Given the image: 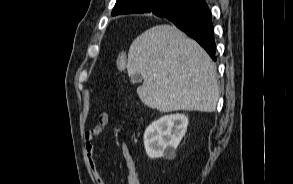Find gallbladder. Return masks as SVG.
Returning <instances> with one entry per match:
<instances>
[{"instance_id":"gallbladder-1","label":"gallbladder","mask_w":293,"mask_h":184,"mask_svg":"<svg viewBox=\"0 0 293 184\" xmlns=\"http://www.w3.org/2000/svg\"><path fill=\"white\" fill-rule=\"evenodd\" d=\"M142 81V76L140 73H135L131 76V82L133 84L140 83Z\"/></svg>"}]
</instances>
